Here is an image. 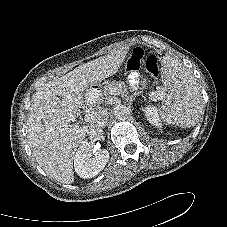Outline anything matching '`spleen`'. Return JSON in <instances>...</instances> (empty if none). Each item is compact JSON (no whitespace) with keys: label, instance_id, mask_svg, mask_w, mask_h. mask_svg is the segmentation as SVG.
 I'll list each match as a JSON object with an SVG mask.
<instances>
[{"label":"spleen","instance_id":"obj_1","mask_svg":"<svg viewBox=\"0 0 227 227\" xmlns=\"http://www.w3.org/2000/svg\"><path fill=\"white\" fill-rule=\"evenodd\" d=\"M162 80L164 87L157 92L163 100L158 110L161 119L184 128L195 126L203 114V99L195 78L177 59L165 56Z\"/></svg>","mask_w":227,"mask_h":227}]
</instances>
